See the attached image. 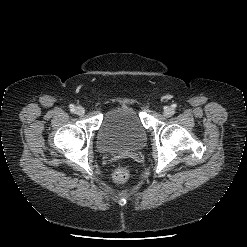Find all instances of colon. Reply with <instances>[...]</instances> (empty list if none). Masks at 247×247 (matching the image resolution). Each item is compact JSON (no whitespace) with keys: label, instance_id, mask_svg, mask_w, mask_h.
<instances>
[{"label":"colon","instance_id":"obj_1","mask_svg":"<svg viewBox=\"0 0 247 247\" xmlns=\"http://www.w3.org/2000/svg\"><path fill=\"white\" fill-rule=\"evenodd\" d=\"M113 181L117 184H124L129 178V170L126 166H119L113 172Z\"/></svg>","mask_w":247,"mask_h":247}]
</instances>
